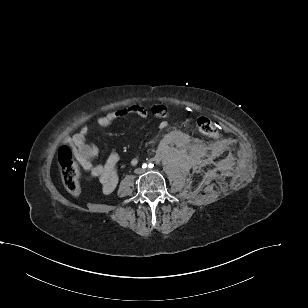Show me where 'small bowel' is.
Instances as JSON below:
<instances>
[{"instance_id":"obj_1","label":"small bowel","mask_w":308,"mask_h":308,"mask_svg":"<svg viewBox=\"0 0 308 308\" xmlns=\"http://www.w3.org/2000/svg\"><path fill=\"white\" fill-rule=\"evenodd\" d=\"M149 114L162 119L160 128H165L167 123L165 119L168 118L169 112L167 108L160 104L152 106H144L141 104H133L115 111H111L105 115L98 117L95 123L99 126L105 127L110 125L113 121L129 115H136L141 118L147 117ZM89 126L83 125L80 130L71 137L64 140L65 144L73 148L77 161L81 164L82 168L88 175L102 184L103 189L107 193H111L118 183V163L119 155L112 152L104 164L95 165L93 159L98 155L99 150L96 145L88 142L87 134ZM188 141V135L181 131H171L167 133L161 145L166 147L170 144L183 146ZM137 160H132V164H136Z\"/></svg>"}]
</instances>
